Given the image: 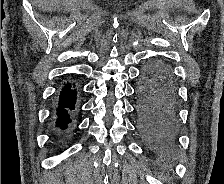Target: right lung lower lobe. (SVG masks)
<instances>
[{
  "instance_id": "obj_1",
  "label": "right lung lower lobe",
  "mask_w": 224,
  "mask_h": 184,
  "mask_svg": "<svg viewBox=\"0 0 224 184\" xmlns=\"http://www.w3.org/2000/svg\"><path fill=\"white\" fill-rule=\"evenodd\" d=\"M75 102L76 90L71 88V85L67 83L60 92L59 102L56 109V125L61 130H65L67 125L71 123L70 116L72 115V111L75 108Z\"/></svg>"
}]
</instances>
